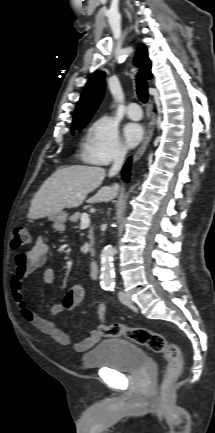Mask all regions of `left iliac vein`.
Instances as JSON below:
<instances>
[{"mask_svg": "<svg viewBox=\"0 0 215 433\" xmlns=\"http://www.w3.org/2000/svg\"><path fill=\"white\" fill-rule=\"evenodd\" d=\"M119 299H120V301H121L124 305H127V306L132 305V300H131V298L129 297V295L126 294V293H120V294H119Z\"/></svg>", "mask_w": 215, "mask_h": 433, "instance_id": "left-iliac-vein-1", "label": "left iliac vein"}]
</instances>
